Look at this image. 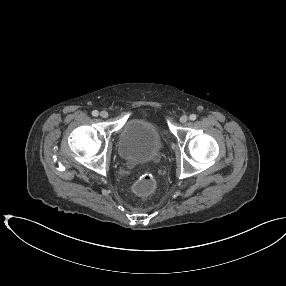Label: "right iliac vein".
<instances>
[{
	"instance_id": "63e3f726",
	"label": "right iliac vein",
	"mask_w": 286,
	"mask_h": 286,
	"mask_svg": "<svg viewBox=\"0 0 286 286\" xmlns=\"http://www.w3.org/2000/svg\"><path fill=\"white\" fill-rule=\"evenodd\" d=\"M100 116H101L102 118H107V117H108V112H107V111H102V112L100 113Z\"/></svg>"
}]
</instances>
